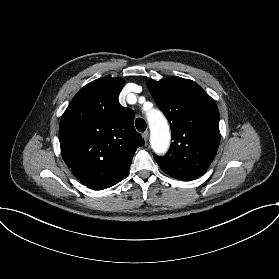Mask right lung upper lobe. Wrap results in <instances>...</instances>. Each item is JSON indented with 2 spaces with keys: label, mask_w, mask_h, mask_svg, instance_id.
Returning <instances> with one entry per match:
<instances>
[{
  "label": "right lung upper lobe",
  "mask_w": 279,
  "mask_h": 279,
  "mask_svg": "<svg viewBox=\"0 0 279 279\" xmlns=\"http://www.w3.org/2000/svg\"><path fill=\"white\" fill-rule=\"evenodd\" d=\"M125 81L102 77L85 85L63 114L59 140L63 159L76 178L92 189L124 179L136 149L144 144L136 132L134 112L118 95Z\"/></svg>",
  "instance_id": "cb5924a9"
}]
</instances>
